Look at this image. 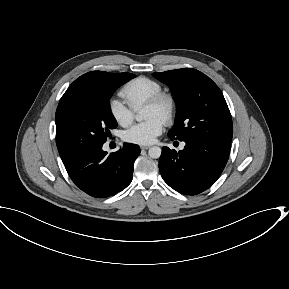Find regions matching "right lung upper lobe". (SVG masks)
Here are the masks:
<instances>
[{
  "instance_id": "1",
  "label": "right lung upper lobe",
  "mask_w": 289,
  "mask_h": 289,
  "mask_svg": "<svg viewBox=\"0 0 289 289\" xmlns=\"http://www.w3.org/2000/svg\"><path fill=\"white\" fill-rule=\"evenodd\" d=\"M111 74L102 71H92L80 76L69 86L61 100L85 94L95 85L108 79Z\"/></svg>"
}]
</instances>
